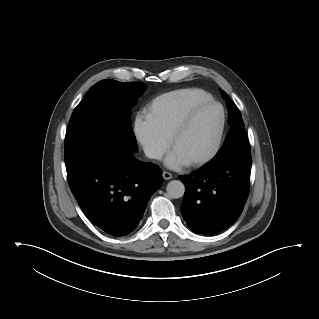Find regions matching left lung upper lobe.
<instances>
[{
	"label": "left lung upper lobe",
	"mask_w": 319,
	"mask_h": 319,
	"mask_svg": "<svg viewBox=\"0 0 319 319\" xmlns=\"http://www.w3.org/2000/svg\"><path fill=\"white\" fill-rule=\"evenodd\" d=\"M221 93L226 100L228 107V124L230 125V130L225 138L223 146L214 158L216 160L226 154L238 152L250 153L249 141L241 113L230 97L224 91H221Z\"/></svg>",
	"instance_id": "5c2ea615"
}]
</instances>
